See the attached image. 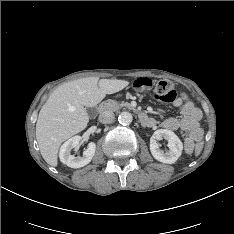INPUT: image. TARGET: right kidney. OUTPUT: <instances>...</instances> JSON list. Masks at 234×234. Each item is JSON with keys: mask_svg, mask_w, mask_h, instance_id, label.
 Wrapping results in <instances>:
<instances>
[{"mask_svg": "<svg viewBox=\"0 0 234 234\" xmlns=\"http://www.w3.org/2000/svg\"><path fill=\"white\" fill-rule=\"evenodd\" d=\"M82 140L81 136H74L68 139L60 148L59 158L63 164L71 168H80L91 162L96 149V144L90 142L87 149L83 152V156L75 157L71 154V150L76 148Z\"/></svg>", "mask_w": 234, "mask_h": 234, "instance_id": "1", "label": "right kidney"}]
</instances>
